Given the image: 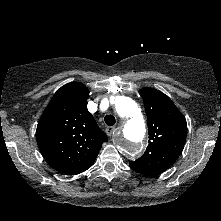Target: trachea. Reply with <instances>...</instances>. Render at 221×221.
<instances>
[{"label": "trachea", "instance_id": "obj_1", "mask_svg": "<svg viewBox=\"0 0 221 221\" xmlns=\"http://www.w3.org/2000/svg\"><path fill=\"white\" fill-rule=\"evenodd\" d=\"M104 121L109 126L115 125L116 123V119L113 115H106Z\"/></svg>", "mask_w": 221, "mask_h": 221}]
</instances>
